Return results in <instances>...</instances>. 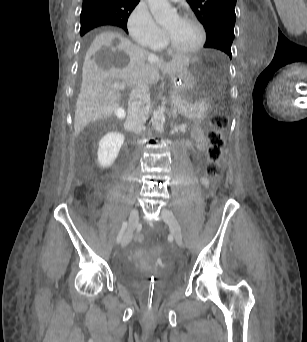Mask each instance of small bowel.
I'll return each mask as SVG.
<instances>
[{"label":"small bowel","mask_w":307,"mask_h":342,"mask_svg":"<svg viewBox=\"0 0 307 342\" xmlns=\"http://www.w3.org/2000/svg\"><path fill=\"white\" fill-rule=\"evenodd\" d=\"M192 135L193 138L196 140L199 149L204 150L207 146V140L205 138L203 131L200 128H194L192 131ZM201 180L204 184L207 183L205 178L202 177Z\"/></svg>","instance_id":"1"}]
</instances>
